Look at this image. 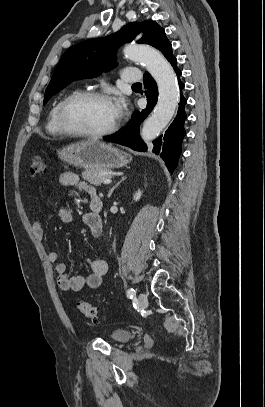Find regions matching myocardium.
I'll use <instances>...</instances> for the list:
<instances>
[{"label": "myocardium", "mask_w": 265, "mask_h": 407, "mask_svg": "<svg viewBox=\"0 0 265 407\" xmlns=\"http://www.w3.org/2000/svg\"><path fill=\"white\" fill-rule=\"evenodd\" d=\"M83 99H101L111 101L109 96L105 93L94 91V90H85V91H78L68 95L61 103L58 111V123L61 130L69 136L74 137H82V138H102L114 133L119 126V119L117 118L114 123L105 130L97 131V132H88L82 131L75 128L69 121L68 112L71 105L79 100Z\"/></svg>", "instance_id": "myocardium-1"}]
</instances>
